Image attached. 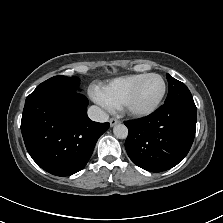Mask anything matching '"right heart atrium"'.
I'll return each mask as SVG.
<instances>
[{"label": "right heart atrium", "instance_id": "obj_1", "mask_svg": "<svg viewBox=\"0 0 223 223\" xmlns=\"http://www.w3.org/2000/svg\"><path fill=\"white\" fill-rule=\"evenodd\" d=\"M96 101L103 106H107L103 98L99 95L96 96Z\"/></svg>", "mask_w": 223, "mask_h": 223}]
</instances>
